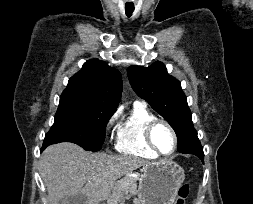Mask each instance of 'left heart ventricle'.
<instances>
[{
  "mask_svg": "<svg viewBox=\"0 0 253 204\" xmlns=\"http://www.w3.org/2000/svg\"><path fill=\"white\" fill-rule=\"evenodd\" d=\"M153 140L163 153H170L172 151L174 145L173 137L164 125L159 124L155 127L153 131Z\"/></svg>",
  "mask_w": 253,
  "mask_h": 204,
  "instance_id": "obj_1",
  "label": "left heart ventricle"
}]
</instances>
